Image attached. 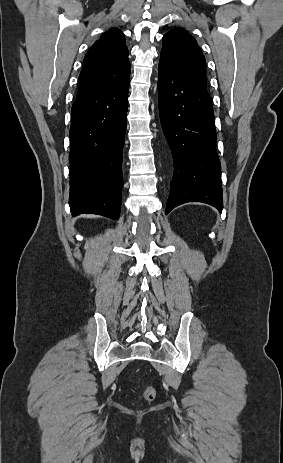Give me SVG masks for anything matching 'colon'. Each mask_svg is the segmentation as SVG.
Wrapping results in <instances>:
<instances>
[{"mask_svg":"<svg viewBox=\"0 0 283 463\" xmlns=\"http://www.w3.org/2000/svg\"><path fill=\"white\" fill-rule=\"evenodd\" d=\"M155 395L156 393L153 387L151 386L146 387L144 391V395H143L146 401H152L155 398Z\"/></svg>","mask_w":283,"mask_h":463,"instance_id":"1","label":"colon"}]
</instances>
